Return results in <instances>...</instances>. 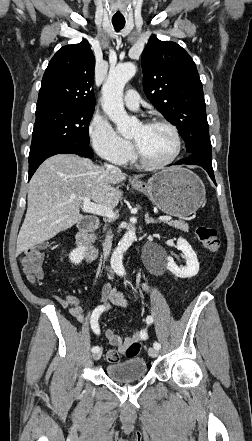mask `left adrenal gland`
Returning a JSON list of instances; mask_svg holds the SVG:
<instances>
[{
    "label": "left adrenal gland",
    "instance_id": "1",
    "mask_svg": "<svg viewBox=\"0 0 252 441\" xmlns=\"http://www.w3.org/2000/svg\"><path fill=\"white\" fill-rule=\"evenodd\" d=\"M145 222H146V224H157L158 223L157 220L149 217L148 213L145 214Z\"/></svg>",
    "mask_w": 252,
    "mask_h": 441
}]
</instances>
